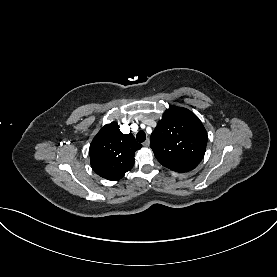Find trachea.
Here are the masks:
<instances>
[{
    "mask_svg": "<svg viewBox=\"0 0 277 277\" xmlns=\"http://www.w3.org/2000/svg\"><path fill=\"white\" fill-rule=\"evenodd\" d=\"M137 141L142 143L146 140V134L144 131H139L136 135Z\"/></svg>",
    "mask_w": 277,
    "mask_h": 277,
    "instance_id": "obj_1",
    "label": "trachea"
}]
</instances>
